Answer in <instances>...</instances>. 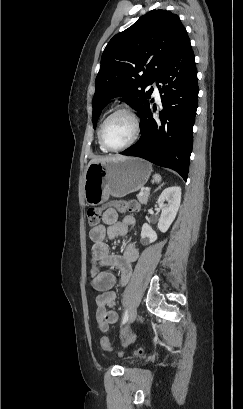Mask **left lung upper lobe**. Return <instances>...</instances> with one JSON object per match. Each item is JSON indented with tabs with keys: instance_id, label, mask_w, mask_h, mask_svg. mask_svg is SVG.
Wrapping results in <instances>:
<instances>
[{
	"instance_id": "1",
	"label": "left lung upper lobe",
	"mask_w": 243,
	"mask_h": 409,
	"mask_svg": "<svg viewBox=\"0 0 243 409\" xmlns=\"http://www.w3.org/2000/svg\"><path fill=\"white\" fill-rule=\"evenodd\" d=\"M187 40L179 16L167 10H151L115 35L102 54L95 81L94 128L103 106L115 97H124L140 115L153 91L147 87L158 79Z\"/></svg>"
}]
</instances>
